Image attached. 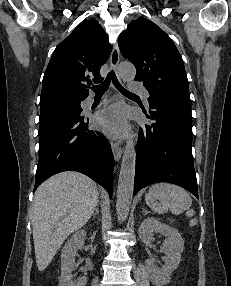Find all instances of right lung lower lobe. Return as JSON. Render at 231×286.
<instances>
[{"label":"right lung lower lobe","mask_w":231,"mask_h":286,"mask_svg":"<svg viewBox=\"0 0 231 286\" xmlns=\"http://www.w3.org/2000/svg\"><path fill=\"white\" fill-rule=\"evenodd\" d=\"M83 116L64 117L39 128V162L35 187L63 171L81 172L113 193L114 158L111 147L98 131L87 128Z\"/></svg>","instance_id":"98d812e1"}]
</instances>
